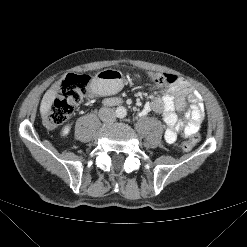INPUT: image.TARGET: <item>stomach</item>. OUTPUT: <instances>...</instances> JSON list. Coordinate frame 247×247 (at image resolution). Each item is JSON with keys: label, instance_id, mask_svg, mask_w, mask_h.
<instances>
[{"label": "stomach", "instance_id": "obj_1", "mask_svg": "<svg viewBox=\"0 0 247 247\" xmlns=\"http://www.w3.org/2000/svg\"><path fill=\"white\" fill-rule=\"evenodd\" d=\"M123 83L122 73L112 69L100 71L94 77V86L99 94L114 93L123 87Z\"/></svg>", "mask_w": 247, "mask_h": 247}]
</instances>
